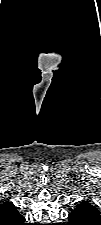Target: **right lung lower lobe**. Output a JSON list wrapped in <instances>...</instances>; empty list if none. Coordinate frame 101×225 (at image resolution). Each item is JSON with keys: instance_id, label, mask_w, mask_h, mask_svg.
<instances>
[{"instance_id": "1", "label": "right lung lower lobe", "mask_w": 101, "mask_h": 225, "mask_svg": "<svg viewBox=\"0 0 101 225\" xmlns=\"http://www.w3.org/2000/svg\"><path fill=\"white\" fill-rule=\"evenodd\" d=\"M17 225H28V224H25V218L22 217V220H20Z\"/></svg>"}]
</instances>
